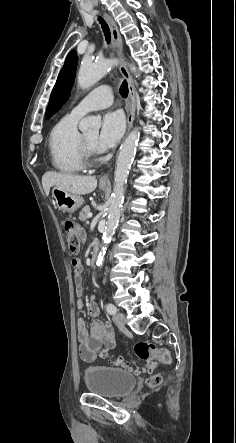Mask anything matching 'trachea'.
<instances>
[{"label": "trachea", "instance_id": "trachea-1", "mask_svg": "<svg viewBox=\"0 0 236 443\" xmlns=\"http://www.w3.org/2000/svg\"><path fill=\"white\" fill-rule=\"evenodd\" d=\"M98 20H99V23L101 24V27L103 29L106 41L110 42L111 34H110V29H109L107 23L101 17H99ZM120 94L124 98H126L128 96V85L125 80L122 82V84L120 86Z\"/></svg>", "mask_w": 236, "mask_h": 443}]
</instances>
